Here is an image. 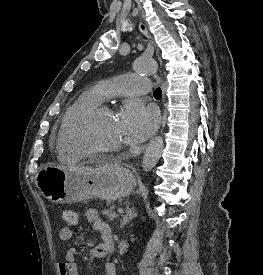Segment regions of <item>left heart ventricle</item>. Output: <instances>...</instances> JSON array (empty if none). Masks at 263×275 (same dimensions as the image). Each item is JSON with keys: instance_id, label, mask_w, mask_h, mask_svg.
<instances>
[{"instance_id": "left-heart-ventricle-1", "label": "left heart ventricle", "mask_w": 263, "mask_h": 275, "mask_svg": "<svg viewBox=\"0 0 263 275\" xmlns=\"http://www.w3.org/2000/svg\"><path fill=\"white\" fill-rule=\"evenodd\" d=\"M77 139L85 146L93 148L127 144L119 118L115 114H105L87 123L77 133Z\"/></svg>"}]
</instances>
